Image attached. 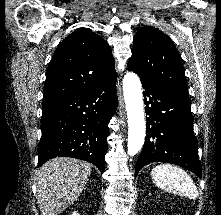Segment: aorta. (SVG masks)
Returning <instances> with one entry per match:
<instances>
[{"instance_id": "1", "label": "aorta", "mask_w": 221, "mask_h": 215, "mask_svg": "<svg viewBox=\"0 0 221 215\" xmlns=\"http://www.w3.org/2000/svg\"><path fill=\"white\" fill-rule=\"evenodd\" d=\"M123 92L128 119L127 152L134 156L141 150L146 134L141 82L135 73L124 76Z\"/></svg>"}]
</instances>
